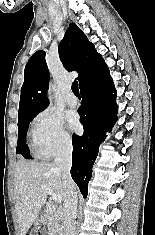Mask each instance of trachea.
Here are the masks:
<instances>
[{"label":"trachea","mask_w":155,"mask_h":235,"mask_svg":"<svg viewBox=\"0 0 155 235\" xmlns=\"http://www.w3.org/2000/svg\"><path fill=\"white\" fill-rule=\"evenodd\" d=\"M73 93L76 95V96H80V93H79V88H78V82L77 81H74L72 83V87H71Z\"/></svg>","instance_id":"1"}]
</instances>
